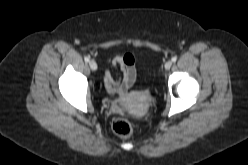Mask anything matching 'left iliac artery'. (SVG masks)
Wrapping results in <instances>:
<instances>
[{"label": "left iliac artery", "mask_w": 248, "mask_h": 165, "mask_svg": "<svg viewBox=\"0 0 248 165\" xmlns=\"http://www.w3.org/2000/svg\"><path fill=\"white\" fill-rule=\"evenodd\" d=\"M172 62H176V60H177V57L176 56H174V57H172Z\"/></svg>", "instance_id": "left-iliac-artery-1"}]
</instances>
